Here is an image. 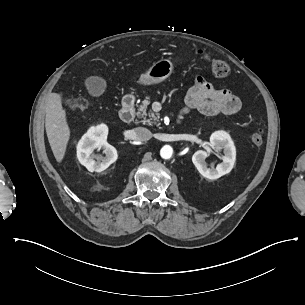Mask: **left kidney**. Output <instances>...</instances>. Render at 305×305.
<instances>
[{
	"label": "left kidney",
	"mask_w": 305,
	"mask_h": 305,
	"mask_svg": "<svg viewBox=\"0 0 305 305\" xmlns=\"http://www.w3.org/2000/svg\"><path fill=\"white\" fill-rule=\"evenodd\" d=\"M210 144L216 150H224L223 161L216 168L213 166L208 168L205 162L208 153L203 150H198L193 154L192 162L202 176L208 179H217L232 170L236 160V149L230 135L222 130L212 133L210 136Z\"/></svg>",
	"instance_id": "5707ae66"
}]
</instances>
